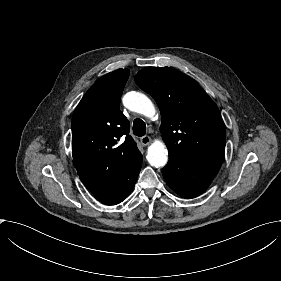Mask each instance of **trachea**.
Listing matches in <instances>:
<instances>
[{
  "label": "trachea",
  "instance_id": "3493384b",
  "mask_svg": "<svg viewBox=\"0 0 281 281\" xmlns=\"http://www.w3.org/2000/svg\"><path fill=\"white\" fill-rule=\"evenodd\" d=\"M133 133L137 137H142L146 134V124L143 120L137 118L133 122Z\"/></svg>",
  "mask_w": 281,
  "mask_h": 281
}]
</instances>
